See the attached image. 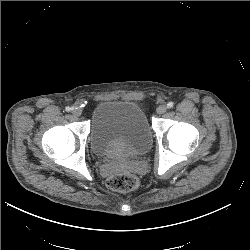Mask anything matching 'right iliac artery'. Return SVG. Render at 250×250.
<instances>
[{
    "instance_id": "1",
    "label": "right iliac artery",
    "mask_w": 250,
    "mask_h": 250,
    "mask_svg": "<svg viewBox=\"0 0 250 250\" xmlns=\"http://www.w3.org/2000/svg\"><path fill=\"white\" fill-rule=\"evenodd\" d=\"M65 110H66L67 112H69V111L72 110V108L68 106V107L65 108Z\"/></svg>"
}]
</instances>
